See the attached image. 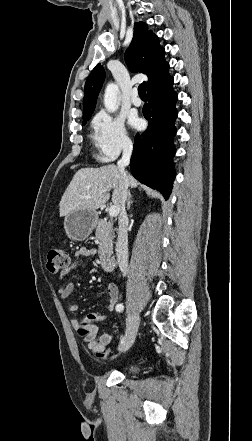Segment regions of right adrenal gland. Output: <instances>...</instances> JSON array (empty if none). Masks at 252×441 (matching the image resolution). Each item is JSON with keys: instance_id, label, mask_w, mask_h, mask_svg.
Masks as SVG:
<instances>
[{"instance_id": "1", "label": "right adrenal gland", "mask_w": 252, "mask_h": 441, "mask_svg": "<svg viewBox=\"0 0 252 441\" xmlns=\"http://www.w3.org/2000/svg\"><path fill=\"white\" fill-rule=\"evenodd\" d=\"M132 195L129 194L128 195V199H127V210H130V206L133 203V201L131 200Z\"/></svg>"}]
</instances>
